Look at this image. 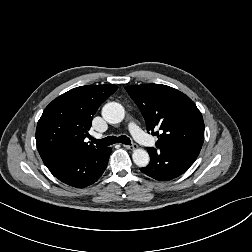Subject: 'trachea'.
Here are the masks:
<instances>
[{
  "label": "trachea",
  "instance_id": "obj_1",
  "mask_svg": "<svg viewBox=\"0 0 252 252\" xmlns=\"http://www.w3.org/2000/svg\"><path fill=\"white\" fill-rule=\"evenodd\" d=\"M91 140L95 144L104 145V146L112 145L119 142L125 145H131V140L127 136H124V135H121L119 137L108 136L100 140L92 138Z\"/></svg>",
  "mask_w": 252,
  "mask_h": 252
}]
</instances>
